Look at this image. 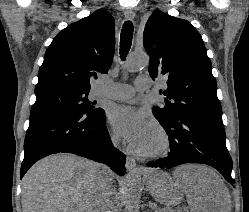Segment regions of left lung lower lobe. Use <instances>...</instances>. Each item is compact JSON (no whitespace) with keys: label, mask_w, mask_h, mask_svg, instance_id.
Instances as JSON below:
<instances>
[{"label":"left lung lower lobe","mask_w":249,"mask_h":212,"mask_svg":"<svg viewBox=\"0 0 249 212\" xmlns=\"http://www.w3.org/2000/svg\"><path fill=\"white\" fill-rule=\"evenodd\" d=\"M157 120L169 135L170 152L168 157L149 163L148 167L202 163L217 169L233 184L232 159L226 148L222 115L195 112L168 121Z\"/></svg>","instance_id":"left-lung-lower-lobe-1"}]
</instances>
